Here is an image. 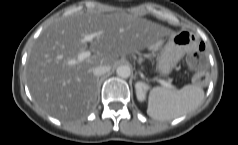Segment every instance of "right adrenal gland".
Segmentation results:
<instances>
[{
    "label": "right adrenal gland",
    "instance_id": "2a0ac1e0",
    "mask_svg": "<svg viewBox=\"0 0 238 145\" xmlns=\"http://www.w3.org/2000/svg\"><path fill=\"white\" fill-rule=\"evenodd\" d=\"M99 81V77L97 78V82Z\"/></svg>",
    "mask_w": 238,
    "mask_h": 145
}]
</instances>
